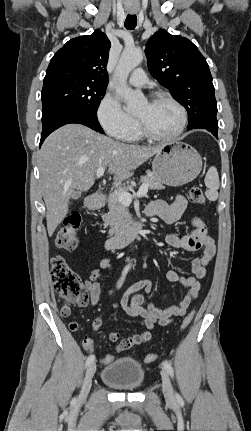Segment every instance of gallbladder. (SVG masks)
Returning <instances> with one entry per match:
<instances>
[{"label":"gallbladder","instance_id":"gallbladder-1","mask_svg":"<svg viewBox=\"0 0 251 431\" xmlns=\"http://www.w3.org/2000/svg\"><path fill=\"white\" fill-rule=\"evenodd\" d=\"M81 196V192H75L74 194H73V196H72V199L73 200H75V199H78L79 197Z\"/></svg>","mask_w":251,"mask_h":431}]
</instances>
